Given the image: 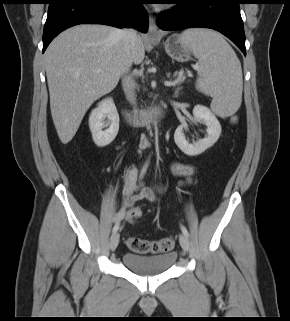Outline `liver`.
<instances>
[{
  "label": "liver",
  "instance_id": "6515ba94",
  "mask_svg": "<svg viewBox=\"0 0 290 321\" xmlns=\"http://www.w3.org/2000/svg\"><path fill=\"white\" fill-rule=\"evenodd\" d=\"M120 29L81 24L60 33L45 52L50 109L59 139L69 143L94 101L111 92L145 57L143 38L125 50ZM97 70H100L97 72Z\"/></svg>",
  "mask_w": 290,
  "mask_h": 321
}]
</instances>
